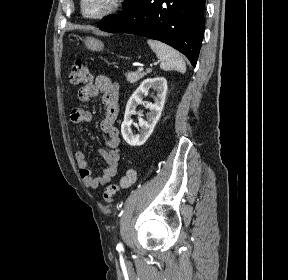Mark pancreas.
Wrapping results in <instances>:
<instances>
[{"label": "pancreas", "mask_w": 288, "mask_h": 280, "mask_svg": "<svg viewBox=\"0 0 288 280\" xmlns=\"http://www.w3.org/2000/svg\"><path fill=\"white\" fill-rule=\"evenodd\" d=\"M151 69H148L146 72H130L128 71L125 76H126V80L129 83H136L138 80H140L141 78H143L147 73H150Z\"/></svg>", "instance_id": "pancreas-1"}]
</instances>
